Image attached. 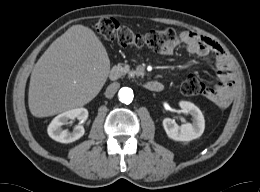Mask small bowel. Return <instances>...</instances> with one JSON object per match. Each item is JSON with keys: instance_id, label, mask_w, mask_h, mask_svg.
Wrapping results in <instances>:
<instances>
[{"instance_id": "small-bowel-1", "label": "small bowel", "mask_w": 260, "mask_h": 192, "mask_svg": "<svg viewBox=\"0 0 260 192\" xmlns=\"http://www.w3.org/2000/svg\"><path fill=\"white\" fill-rule=\"evenodd\" d=\"M178 43L184 44L188 53L200 57L214 54L217 82L213 87L205 88L203 95L220 107H227L236 92V77L221 46L214 40L193 31H184L180 40L160 51L163 55H171Z\"/></svg>"}]
</instances>
